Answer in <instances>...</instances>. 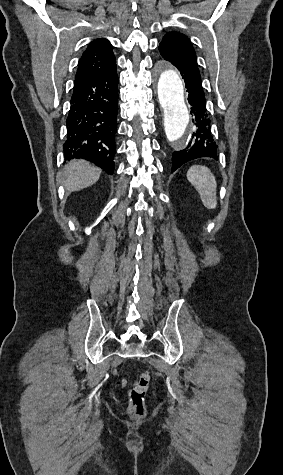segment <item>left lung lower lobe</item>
Masks as SVG:
<instances>
[{
	"mask_svg": "<svg viewBox=\"0 0 283 475\" xmlns=\"http://www.w3.org/2000/svg\"><path fill=\"white\" fill-rule=\"evenodd\" d=\"M181 72L188 92V102L191 105L190 114L195 126V132L187 147L172 156V172L182 164L200 157L217 159L218 145L211 133V121L206 108L205 93L203 91L198 66L193 64L174 65Z\"/></svg>",
	"mask_w": 283,
	"mask_h": 475,
	"instance_id": "1",
	"label": "left lung lower lobe"
}]
</instances>
